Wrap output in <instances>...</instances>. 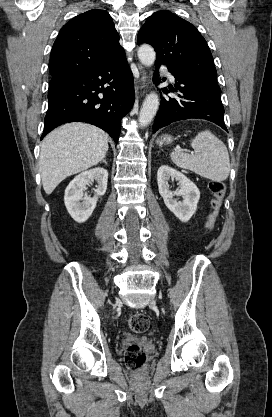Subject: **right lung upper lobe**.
Instances as JSON below:
<instances>
[{
  "label": "right lung upper lobe",
  "instance_id": "cb5924a9",
  "mask_svg": "<svg viewBox=\"0 0 272 417\" xmlns=\"http://www.w3.org/2000/svg\"><path fill=\"white\" fill-rule=\"evenodd\" d=\"M122 50L108 12L90 10L61 28L51 51L49 72L54 77L91 70Z\"/></svg>",
  "mask_w": 272,
  "mask_h": 417
}]
</instances>
